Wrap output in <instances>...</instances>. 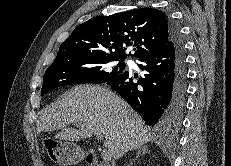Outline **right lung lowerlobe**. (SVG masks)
Returning <instances> with one entry per match:
<instances>
[{
  "label": "right lung lower lobe",
  "mask_w": 231,
  "mask_h": 166,
  "mask_svg": "<svg viewBox=\"0 0 231 166\" xmlns=\"http://www.w3.org/2000/svg\"><path fill=\"white\" fill-rule=\"evenodd\" d=\"M170 42L160 51L139 58L146 70L137 83L123 72L105 83L120 94L157 134L176 130L182 120L186 99V62L183 38L170 20Z\"/></svg>",
  "instance_id": "98d812e1"
}]
</instances>
